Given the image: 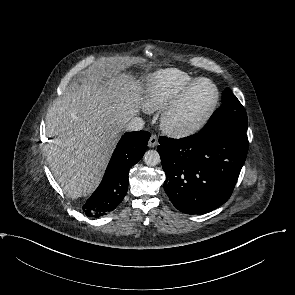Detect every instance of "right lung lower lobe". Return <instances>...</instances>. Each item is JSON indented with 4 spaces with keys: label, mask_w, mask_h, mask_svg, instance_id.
I'll return each mask as SVG.
<instances>
[{
    "label": "right lung lower lobe",
    "mask_w": 295,
    "mask_h": 295,
    "mask_svg": "<svg viewBox=\"0 0 295 295\" xmlns=\"http://www.w3.org/2000/svg\"><path fill=\"white\" fill-rule=\"evenodd\" d=\"M149 138V132L137 131L120 139L102 182L83 206L87 216L106 215L121 203L128 190L129 169L143 157Z\"/></svg>",
    "instance_id": "obj_1"
}]
</instances>
